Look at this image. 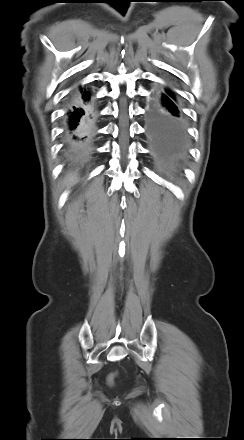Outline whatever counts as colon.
<instances>
[{
	"mask_svg": "<svg viewBox=\"0 0 244 440\" xmlns=\"http://www.w3.org/2000/svg\"><path fill=\"white\" fill-rule=\"evenodd\" d=\"M114 378H115V375H114V374H112V375L109 376V378H108V382H109L110 385H112V384L114 383Z\"/></svg>",
	"mask_w": 244,
	"mask_h": 440,
	"instance_id": "5ec220e1",
	"label": "colon"
}]
</instances>
